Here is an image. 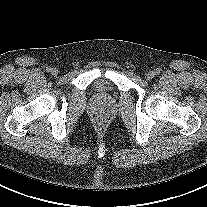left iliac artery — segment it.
<instances>
[{"mask_svg": "<svg viewBox=\"0 0 207 207\" xmlns=\"http://www.w3.org/2000/svg\"><path fill=\"white\" fill-rule=\"evenodd\" d=\"M154 73H155L156 75H159V74H160V69H156Z\"/></svg>", "mask_w": 207, "mask_h": 207, "instance_id": "obj_1", "label": "left iliac artery"}]
</instances>
